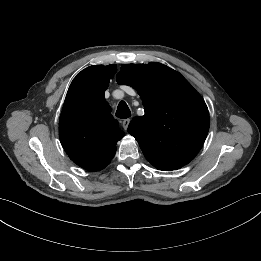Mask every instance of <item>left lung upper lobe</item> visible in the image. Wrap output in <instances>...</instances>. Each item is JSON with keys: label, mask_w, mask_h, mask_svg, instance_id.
Masks as SVG:
<instances>
[{"label": "left lung upper lobe", "mask_w": 261, "mask_h": 261, "mask_svg": "<svg viewBox=\"0 0 261 261\" xmlns=\"http://www.w3.org/2000/svg\"><path fill=\"white\" fill-rule=\"evenodd\" d=\"M117 81L136 89L145 115L132 119L128 132L157 169L176 170L201 149L208 130L205 101L177 71L160 63L121 66Z\"/></svg>", "instance_id": "obj_1"}]
</instances>
